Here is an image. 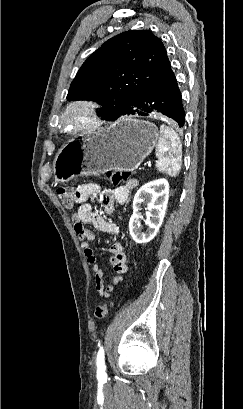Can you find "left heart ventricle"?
Instances as JSON below:
<instances>
[{"label": "left heart ventricle", "mask_w": 243, "mask_h": 409, "mask_svg": "<svg viewBox=\"0 0 243 409\" xmlns=\"http://www.w3.org/2000/svg\"><path fill=\"white\" fill-rule=\"evenodd\" d=\"M85 119L80 114H71L65 121V125L69 129H75L85 124Z\"/></svg>", "instance_id": "1"}]
</instances>
